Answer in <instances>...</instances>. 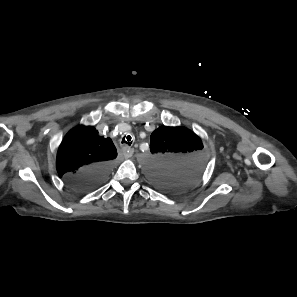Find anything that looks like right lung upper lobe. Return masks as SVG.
Instances as JSON below:
<instances>
[{"label": "right lung upper lobe", "mask_w": 297, "mask_h": 297, "mask_svg": "<svg viewBox=\"0 0 297 297\" xmlns=\"http://www.w3.org/2000/svg\"><path fill=\"white\" fill-rule=\"evenodd\" d=\"M117 156L110 138L99 136L92 126L73 129L61 143L57 154V171L65 179L100 163H112Z\"/></svg>", "instance_id": "obj_1"}]
</instances>
